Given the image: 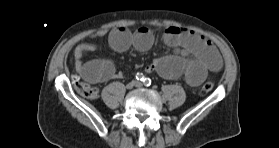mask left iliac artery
Returning a JSON list of instances; mask_svg holds the SVG:
<instances>
[{"label": "left iliac artery", "mask_w": 279, "mask_h": 148, "mask_svg": "<svg viewBox=\"0 0 279 148\" xmlns=\"http://www.w3.org/2000/svg\"><path fill=\"white\" fill-rule=\"evenodd\" d=\"M145 86H150L151 85V79L150 78H145V80L143 81Z\"/></svg>", "instance_id": "obj_1"}]
</instances>
